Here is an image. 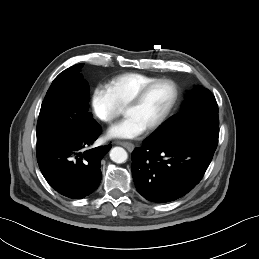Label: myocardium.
<instances>
[{"instance_id": "obj_1", "label": "myocardium", "mask_w": 259, "mask_h": 259, "mask_svg": "<svg viewBox=\"0 0 259 259\" xmlns=\"http://www.w3.org/2000/svg\"><path fill=\"white\" fill-rule=\"evenodd\" d=\"M160 83H166L172 87L173 97H172V100L169 103L168 107L166 108L164 113L161 115V117L145 129L147 132H152V131L158 129L159 127H161L165 123V121L168 119V117L170 116L172 111L174 110V108L178 102V99H179L178 85L173 80L168 79V78L155 79V80L151 81L150 83L144 85L142 88H140L124 105V110L138 105L142 101L144 96L147 94V92L152 87H154L155 85L160 84Z\"/></svg>"}]
</instances>
